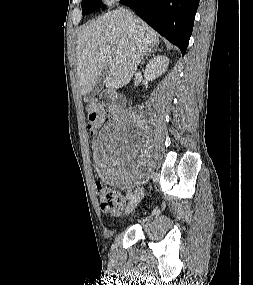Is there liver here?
Instances as JSON below:
<instances>
[{"label":"liver","mask_w":253,"mask_h":285,"mask_svg":"<svg viewBox=\"0 0 253 285\" xmlns=\"http://www.w3.org/2000/svg\"><path fill=\"white\" fill-rule=\"evenodd\" d=\"M125 9L113 10L86 25L79 34L77 77L82 95L94 87L107 70L104 84L118 89L130 82L141 58L159 44V35Z\"/></svg>","instance_id":"1"}]
</instances>
